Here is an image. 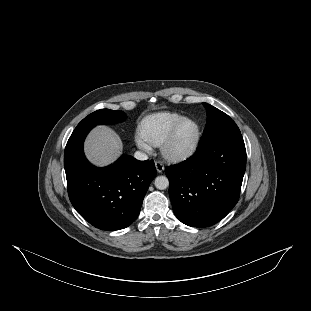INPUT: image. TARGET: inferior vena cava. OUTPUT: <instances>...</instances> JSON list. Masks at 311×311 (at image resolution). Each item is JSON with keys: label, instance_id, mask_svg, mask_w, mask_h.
Returning a JSON list of instances; mask_svg holds the SVG:
<instances>
[{"label": "inferior vena cava", "instance_id": "obj_1", "mask_svg": "<svg viewBox=\"0 0 311 311\" xmlns=\"http://www.w3.org/2000/svg\"><path fill=\"white\" fill-rule=\"evenodd\" d=\"M134 158L139 160V161H145L148 159V155L144 152H141V151H136L134 153Z\"/></svg>", "mask_w": 311, "mask_h": 311}]
</instances>
